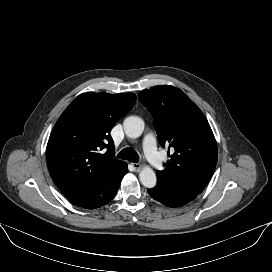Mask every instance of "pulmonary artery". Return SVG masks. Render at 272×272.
<instances>
[{"mask_svg":"<svg viewBox=\"0 0 272 272\" xmlns=\"http://www.w3.org/2000/svg\"><path fill=\"white\" fill-rule=\"evenodd\" d=\"M143 150L148 161L156 168L162 166V157L156 149V141L153 134H147L143 140Z\"/></svg>","mask_w":272,"mask_h":272,"instance_id":"1","label":"pulmonary artery"}]
</instances>
